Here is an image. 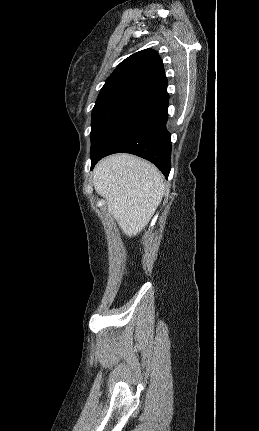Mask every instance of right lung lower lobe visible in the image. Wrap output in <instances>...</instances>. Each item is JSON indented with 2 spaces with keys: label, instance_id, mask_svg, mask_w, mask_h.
<instances>
[{
  "label": "right lung lower lobe",
  "instance_id": "obj_1",
  "mask_svg": "<svg viewBox=\"0 0 259 431\" xmlns=\"http://www.w3.org/2000/svg\"><path fill=\"white\" fill-rule=\"evenodd\" d=\"M167 85L131 106L90 151L91 169L109 154L126 152L151 161L168 178L171 169V134Z\"/></svg>",
  "mask_w": 259,
  "mask_h": 431
}]
</instances>
